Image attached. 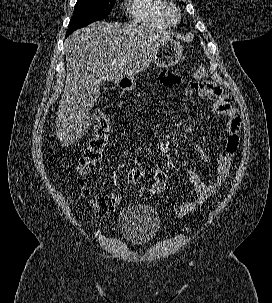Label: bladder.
I'll return each mask as SVG.
<instances>
[{
	"instance_id": "31cf9c89",
	"label": "bladder",
	"mask_w": 272,
	"mask_h": 303,
	"mask_svg": "<svg viewBox=\"0 0 272 303\" xmlns=\"http://www.w3.org/2000/svg\"><path fill=\"white\" fill-rule=\"evenodd\" d=\"M161 228L156 210L148 205L133 204L125 207L118 217V230L133 245L151 241Z\"/></svg>"
}]
</instances>
